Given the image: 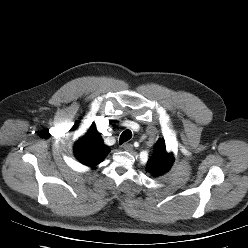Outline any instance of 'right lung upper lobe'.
<instances>
[{
  "label": "right lung upper lobe",
  "mask_w": 248,
  "mask_h": 248,
  "mask_svg": "<svg viewBox=\"0 0 248 248\" xmlns=\"http://www.w3.org/2000/svg\"><path fill=\"white\" fill-rule=\"evenodd\" d=\"M109 151L110 148L103 143L95 125H91L87 133L75 143L74 147L76 158L91 168H95L101 163Z\"/></svg>",
  "instance_id": "1"
}]
</instances>
